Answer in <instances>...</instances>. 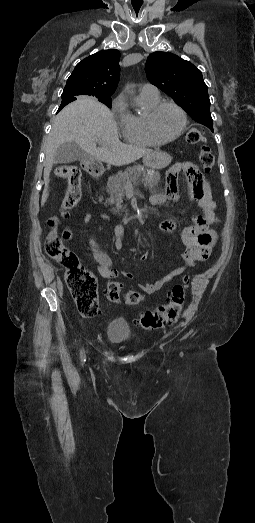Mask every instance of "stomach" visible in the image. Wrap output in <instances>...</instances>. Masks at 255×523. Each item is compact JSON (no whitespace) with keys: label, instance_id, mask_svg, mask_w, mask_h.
Segmentation results:
<instances>
[{"label":"stomach","instance_id":"stomach-1","mask_svg":"<svg viewBox=\"0 0 255 523\" xmlns=\"http://www.w3.org/2000/svg\"><path fill=\"white\" fill-rule=\"evenodd\" d=\"M144 166L151 168V170H162L165 168L167 162L172 159L170 151H159L157 154H151V156H145Z\"/></svg>","mask_w":255,"mask_h":523}]
</instances>
